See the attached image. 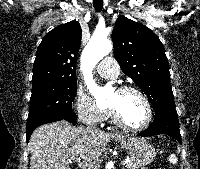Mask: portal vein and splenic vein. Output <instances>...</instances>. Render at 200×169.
<instances>
[{
    "label": "portal vein and splenic vein",
    "mask_w": 200,
    "mask_h": 169,
    "mask_svg": "<svg viewBox=\"0 0 200 169\" xmlns=\"http://www.w3.org/2000/svg\"><path fill=\"white\" fill-rule=\"evenodd\" d=\"M128 162H129V160H125V161L122 162V165H125Z\"/></svg>",
    "instance_id": "portal-vein-and-splenic-vein-1"
}]
</instances>
